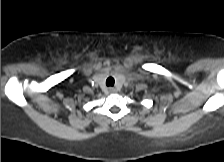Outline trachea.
Instances as JSON below:
<instances>
[{
  "label": "trachea",
  "mask_w": 224,
  "mask_h": 162,
  "mask_svg": "<svg viewBox=\"0 0 224 162\" xmlns=\"http://www.w3.org/2000/svg\"><path fill=\"white\" fill-rule=\"evenodd\" d=\"M115 80L113 77H108L106 80V85L107 86H114Z\"/></svg>",
  "instance_id": "obj_1"
}]
</instances>
